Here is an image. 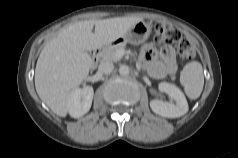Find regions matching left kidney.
<instances>
[{"mask_svg": "<svg viewBox=\"0 0 238 158\" xmlns=\"http://www.w3.org/2000/svg\"><path fill=\"white\" fill-rule=\"evenodd\" d=\"M159 90L168 94L173 102H164L154 99L150 101L152 111L167 118H178L188 112V103L183 92L174 84L161 82Z\"/></svg>", "mask_w": 238, "mask_h": 158, "instance_id": "obj_1", "label": "left kidney"}]
</instances>
